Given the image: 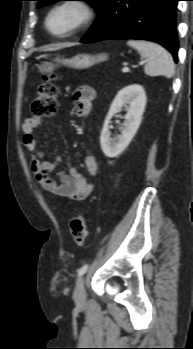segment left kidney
<instances>
[{
	"instance_id": "obj_1",
	"label": "left kidney",
	"mask_w": 193,
	"mask_h": 349,
	"mask_svg": "<svg viewBox=\"0 0 193 349\" xmlns=\"http://www.w3.org/2000/svg\"><path fill=\"white\" fill-rule=\"evenodd\" d=\"M145 105L146 94L141 85L126 86L117 93L105 118L100 135V145L105 156L117 157L129 145L139 128ZM123 106H126L127 114L124 117L122 132L118 136V140L115 141L109 135V123L112 117L122 110Z\"/></svg>"
}]
</instances>
